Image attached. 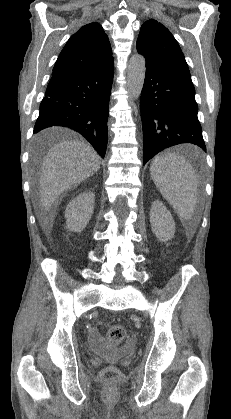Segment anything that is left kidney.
I'll return each mask as SVG.
<instances>
[{
    "label": "left kidney",
    "instance_id": "obj_1",
    "mask_svg": "<svg viewBox=\"0 0 231 419\" xmlns=\"http://www.w3.org/2000/svg\"><path fill=\"white\" fill-rule=\"evenodd\" d=\"M150 223L152 232L160 241H168L174 237L175 222L173 217L164 204L158 200L152 203Z\"/></svg>",
    "mask_w": 231,
    "mask_h": 419
}]
</instances>
